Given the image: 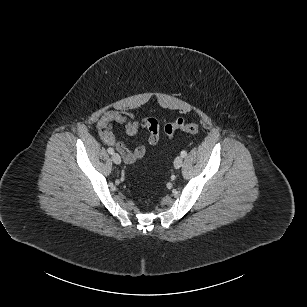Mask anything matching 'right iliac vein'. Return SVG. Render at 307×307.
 <instances>
[{"label": "right iliac vein", "mask_w": 307, "mask_h": 307, "mask_svg": "<svg viewBox=\"0 0 307 307\" xmlns=\"http://www.w3.org/2000/svg\"><path fill=\"white\" fill-rule=\"evenodd\" d=\"M112 160L115 164H120L121 163V157L117 153L112 154Z\"/></svg>", "instance_id": "1"}]
</instances>
